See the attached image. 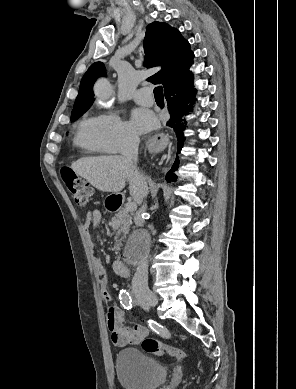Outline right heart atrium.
Listing matches in <instances>:
<instances>
[{
	"label": "right heart atrium",
	"instance_id": "obj_1",
	"mask_svg": "<svg viewBox=\"0 0 296 389\" xmlns=\"http://www.w3.org/2000/svg\"><path fill=\"white\" fill-rule=\"evenodd\" d=\"M97 122L102 147L108 153H118L134 146L138 141L135 132L115 111L101 113Z\"/></svg>",
	"mask_w": 296,
	"mask_h": 389
}]
</instances>
